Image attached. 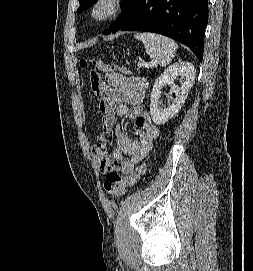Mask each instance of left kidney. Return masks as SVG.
<instances>
[{
  "label": "left kidney",
  "mask_w": 253,
  "mask_h": 271,
  "mask_svg": "<svg viewBox=\"0 0 253 271\" xmlns=\"http://www.w3.org/2000/svg\"><path fill=\"white\" fill-rule=\"evenodd\" d=\"M196 76L194 65L188 62L174 63L169 66L155 81L150 99V114L152 121L157 125L165 124L174 117L187 99L188 93L193 85ZM179 79L180 86L175 85V80ZM170 85V93L176 94V99L168 107L160 106L159 98L161 89L165 85Z\"/></svg>",
  "instance_id": "5707ae66"
}]
</instances>
